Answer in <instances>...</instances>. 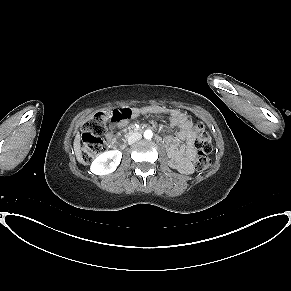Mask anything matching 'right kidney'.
Returning <instances> with one entry per match:
<instances>
[{"mask_svg": "<svg viewBox=\"0 0 291 291\" xmlns=\"http://www.w3.org/2000/svg\"><path fill=\"white\" fill-rule=\"evenodd\" d=\"M122 152L119 150L106 151L94 159L90 170L96 175H106L116 170L120 164Z\"/></svg>", "mask_w": 291, "mask_h": 291, "instance_id": "right-kidney-1", "label": "right kidney"}]
</instances>
